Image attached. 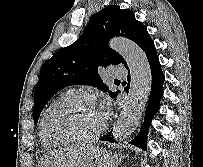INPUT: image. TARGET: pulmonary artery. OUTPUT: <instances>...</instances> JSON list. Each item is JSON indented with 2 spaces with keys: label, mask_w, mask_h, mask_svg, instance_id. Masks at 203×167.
Segmentation results:
<instances>
[{
  "label": "pulmonary artery",
  "mask_w": 203,
  "mask_h": 167,
  "mask_svg": "<svg viewBox=\"0 0 203 167\" xmlns=\"http://www.w3.org/2000/svg\"><path fill=\"white\" fill-rule=\"evenodd\" d=\"M110 74L111 76L116 78H125L127 75V71L121 66H112L110 67Z\"/></svg>",
  "instance_id": "pulmonary-artery-1"
}]
</instances>
